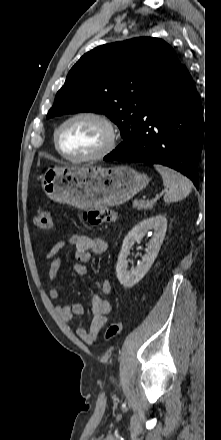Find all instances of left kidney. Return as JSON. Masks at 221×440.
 Masks as SVG:
<instances>
[{
  "mask_svg": "<svg viewBox=\"0 0 221 440\" xmlns=\"http://www.w3.org/2000/svg\"><path fill=\"white\" fill-rule=\"evenodd\" d=\"M166 230V217L163 215H156L139 222L125 236L116 265L117 278L124 287H133L148 272L158 255ZM146 233L152 236L147 245L146 254L142 257V261L139 262L135 268H132L131 272H128L127 258L130 254V249L135 241L141 240Z\"/></svg>",
  "mask_w": 221,
  "mask_h": 440,
  "instance_id": "5707ae66",
  "label": "left kidney"
}]
</instances>
